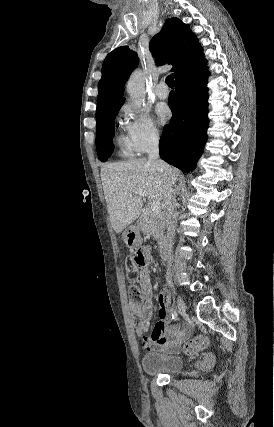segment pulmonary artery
<instances>
[{
	"instance_id": "e3ab8cb5",
	"label": "pulmonary artery",
	"mask_w": 274,
	"mask_h": 427,
	"mask_svg": "<svg viewBox=\"0 0 274 427\" xmlns=\"http://www.w3.org/2000/svg\"><path fill=\"white\" fill-rule=\"evenodd\" d=\"M155 92L160 99H167L170 94L169 87L164 82H161L156 86Z\"/></svg>"
}]
</instances>
